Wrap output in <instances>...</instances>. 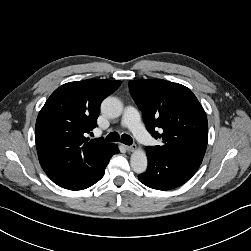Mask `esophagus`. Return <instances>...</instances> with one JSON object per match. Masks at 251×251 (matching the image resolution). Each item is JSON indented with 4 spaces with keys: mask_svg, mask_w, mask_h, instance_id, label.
<instances>
[{
    "mask_svg": "<svg viewBox=\"0 0 251 251\" xmlns=\"http://www.w3.org/2000/svg\"><path fill=\"white\" fill-rule=\"evenodd\" d=\"M125 149L128 151V152H133L135 149H136V146L132 145V146H127L125 145L124 146Z\"/></svg>",
    "mask_w": 251,
    "mask_h": 251,
    "instance_id": "34e87169",
    "label": "esophagus"
}]
</instances>
